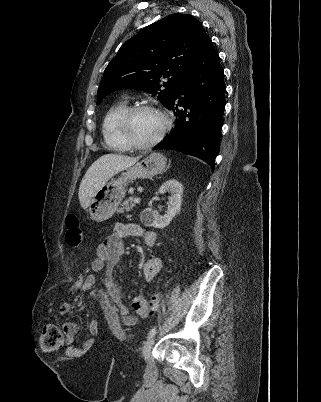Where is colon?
Returning a JSON list of instances; mask_svg holds the SVG:
<instances>
[{"instance_id":"colon-1","label":"colon","mask_w":321,"mask_h":402,"mask_svg":"<svg viewBox=\"0 0 321 402\" xmlns=\"http://www.w3.org/2000/svg\"><path fill=\"white\" fill-rule=\"evenodd\" d=\"M66 243L70 248L78 249L83 242V232L80 228V222L76 215L70 214L66 217ZM75 283L71 288L73 294H82L84 291L83 283L86 280L84 274H77ZM160 295L155 293L152 295L149 303L139 302L134 306L137 313L143 315L148 310L156 311L160 307ZM63 345V334L54 324H49L44 327L40 339V346L43 351L53 352L60 349Z\"/></svg>"}]
</instances>
